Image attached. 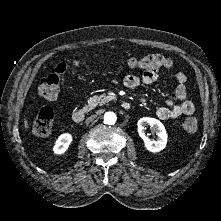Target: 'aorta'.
Listing matches in <instances>:
<instances>
[{"label": "aorta", "mask_w": 221, "mask_h": 221, "mask_svg": "<svg viewBox=\"0 0 221 221\" xmlns=\"http://www.w3.org/2000/svg\"><path fill=\"white\" fill-rule=\"evenodd\" d=\"M116 121H117V116L114 112L109 111L104 114V123L105 124L113 125L116 123Z\"/></svg>", "instance_id": "obj_1"}]
</instances>
